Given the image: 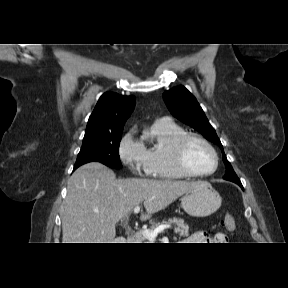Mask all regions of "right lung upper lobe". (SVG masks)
<instances>
[{
    "label": "right lung upper lobe",
    "mask_w": 288,
    "mask_h": 288,
    "mask_svg": "<svg viewBox=\"0 0 288 288\" xmlns=\"http://www.w3.org/2000/svg\"><path fill=\"white\" fill-rule=\"evenodd\" d=\"M134 106V96L104 93L89 117L83 141L123 131L124 124Z\"/></svg>",
    "instance_id": "cb5924a9"
}]
</instances>
